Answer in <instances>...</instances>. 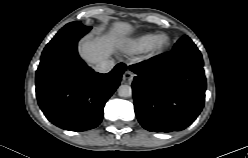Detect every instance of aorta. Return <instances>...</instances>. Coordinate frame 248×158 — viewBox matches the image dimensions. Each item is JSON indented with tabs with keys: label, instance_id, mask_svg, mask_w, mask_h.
<instances>
[{
	"label": "aorta",
	"instance_id": "762f6f07",
	"mask_svg": "<svg viewBox=\"0 0 248 158\" xmlns=\"http://www.w3.org/2000/svg\"><path fill=\"white\" fill-rule=\"evenodd\" d=\"M118 95L123 98L132 96V88L129 85H120L118 88Z\"/></svg>",
	"mask_w": 248,
	"mask_h": 158
}]
</instances>
